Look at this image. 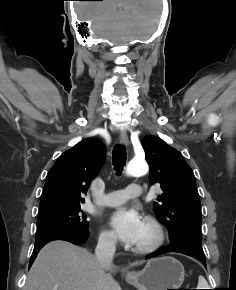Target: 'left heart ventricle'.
Returning <instances> with one entry per match:
<instances>
[{"label": "left heart ventricle", "instance_id": "left-heart-ventricle-1", "mask_svg": "<svg viewBox=\"0 0 236 290\" xmlns=\"http://www.w3.org/2000/svg\"><path fill=\"white\" fill-rule=\"evenodd\" d=\"M149 237H150L149 231L144 226V229H143L141 236H140L139 240L137 241L136 245L146 242L149 239Z\"/></svg>", "mask_w": 236, "mask_h": 290}]
</instances>
